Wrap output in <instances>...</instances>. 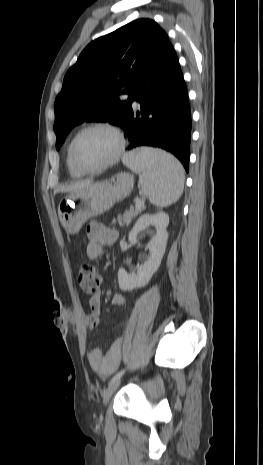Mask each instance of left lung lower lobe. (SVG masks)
<instances>
[{"label": "left lung lower lobe", "mask_w": 263, "mask_h": 465, "mask_svg": "<svg viewBox=\"0 0 263 465\" xmlns=\"http://www.w3.org/2000/svg\"><path fill=\"white\" fill-rule=\"evenodd\" d=\"M133 100L140 103L136 113L132 109ZM121 127L129 140L128 149L141 145L160 147L174 154L188 172L190 105L180 64L170 42L134 85L131 108Z\"/></svg>", "instance_id": "obj_1"}]
</instances>
